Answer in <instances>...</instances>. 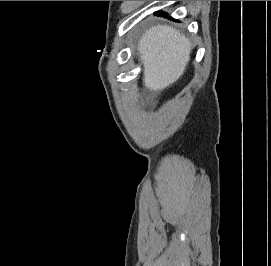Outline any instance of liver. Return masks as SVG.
<instances>
[{
    "label": "liver",
    "instance_id": "obj_1",
    "mask_svg": "<svg viewBox=\"0 0 271 266\" xmlns=\"http://www.w3.org/2000/svg\"><path fill=\"white\" fill-rule=\"evenodd\" d=\"M138 51L144 67V86L157 92L183 75L190 60L191 43L176 29L157 25L143 34Z\"/></svg>",
    "mask_w": 271,
    "mask_h": 266
}]
</instances>
